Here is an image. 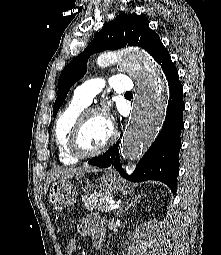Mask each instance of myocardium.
<instances>
[{
  "mask_svg": "<svg viewBox=\"0 0 221 255\" xmlns=\"http://www.w3.org/2000/svg\"><path fill=\"white\" fill-rule=\"evenodd\" d=\"M92 115H98L106 119L109 125V136L106 142L99 149L88 152L83 150L81 146V134L85 123ZM115 139L116 129L108 115L98 108H89L82 112V114L80 115V117L78 118V120L76 121L72 128L69 138V150L72 153V155L78 159L93 158L106 152L109 149V147L113 144Z\"/></svg>",
  "mask_w": 221,
  "mask_h": 255,
  "instance_id": "obj_1",
  "label": "myocardium"
}]
</instances>
